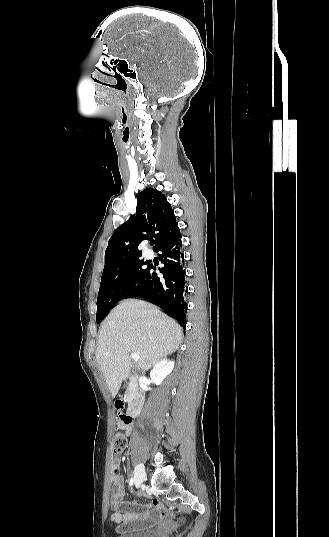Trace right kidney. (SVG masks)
I'll return each instance as SVG.
<instances>
[{
	"mask_svg": "<svg viewBox=\"0 0 329 537\" xmlns=\"http://www.w3.org/2000/svg\"><path fill=\"white\" fill-rule=\"evenodd\" d=\"M173 368V361H170L168 359H163L159 361L150 372L151 380L156 385H160L164 378L173 370Z\"/></svg>",
	"mask_w": 329,
	"mask_h": 537,
	"instance_id": "1",
	"label": "right kidney"
}]
</instances>
